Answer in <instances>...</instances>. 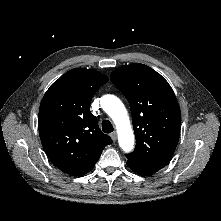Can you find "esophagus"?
Returning <instances> with one entry per match:
<instances>
[{
	"label": "esophagus",
	"instance_id": "1",
	"mask_svg": "<svg viewBox=\"0 0 221 221\" xmlns=\"http://www.w3.org/2000/svg\"><path fill=\"white\" fill-rule=\"evenodd\" d=\"M112 140L115 142L117 140V133L114 131L110 134Z\"/></svg>",
	"mask_w": 221,
	"mask_h": 221
}]
</instances>
